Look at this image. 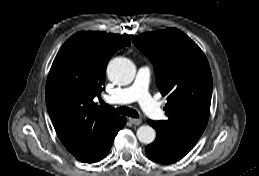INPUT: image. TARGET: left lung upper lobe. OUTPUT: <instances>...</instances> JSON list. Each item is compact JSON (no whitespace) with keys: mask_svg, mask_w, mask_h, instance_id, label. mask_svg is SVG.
I'll return each mask as SVG.
<instances>
[{"mask_svg":"<svg viewBox=\"0 0 259 176\" xmlns=\"http://www.w3.org/2000/svg\"><path fill=\"white\" fill-rule=\"evenodd\" d=\"M133 43L152 61L156 84L168 95L167 120L157 126L176 137L196 142L210 113L212 75L208 61L187 35L175 28L143 33Z\"/></svg>","mask_w":259,"mask_h":176,"instance_id":"obj_1","label":"left lung upper lobe"}]
</instances>
